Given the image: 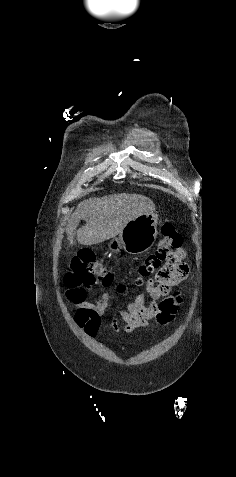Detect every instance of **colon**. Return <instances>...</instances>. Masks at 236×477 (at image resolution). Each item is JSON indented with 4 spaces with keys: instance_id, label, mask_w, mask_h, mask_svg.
<instances>
[{
    "instance_id": "1",
    "label": "colon",
    "mask_w": 236,
    "mask_h": 477,
    "mask_svg": "<svg viewBox=\"0 0 236 477\" xmlns=\"http://www.w3.org/2000/svg\"><path fill=\"white\" fill-rule=\"evenodd\" d=\"M182 234L171 223L162 227V239L155 253L150 255L138 269L139 275L130 284L121 283L117 290L126 294L143 285L144 279L155 274L156 287L169 293L172 284L182 276L183 268ZM114 276L101 258L90 249H82L73 258L71 269L65 275L67 295L73 301H83L87 291L97 284L110 287Z\"/></svg>"
}]
</instances>
